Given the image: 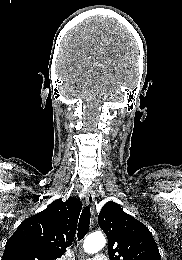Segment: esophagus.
Here are the masks:
<instances>
[{"mask_svg": "<svg viewBox=\"0 0 182 260\" xmlns=\"http://www.w3.org/2000/svg\"><path fill=\"white\" fill-rule=\"evenodd\" d=\"M86 204L90 207L91 211L94 212V194L92 191H87L85 195Z\"/></svg>", "mask_w": 182, "mask_h": 260, "instance_id": "34e87169", "label": "esophagus"}]
</instances>
